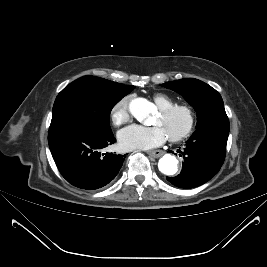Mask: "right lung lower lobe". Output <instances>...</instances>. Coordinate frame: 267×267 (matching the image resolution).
I'll list each match as a JSON object with an SVG mask.
<instances>
[{
  "label": "right lung lower lobe",
  "mask_w": 267,
  "mask_h": 267,
  "mask_svg": "<svg viewBox=\"0 0 267 267\" xmlns=\"http://www.w3.org/2000/svg\"><path fill=\"white\" fill-rule=\"evenodd\" d=\"M49 148L62 176L73 186L95 190L106 186L118 174L124 155L101 153L116 139L106 133L69 126L48 134Z\"/></svg>",
  "instance_id": "right-lung-lower-lobe-1"
}]
</instances>
